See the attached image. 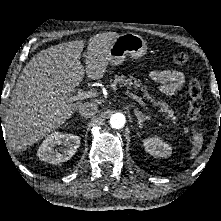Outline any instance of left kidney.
Instances as JSON below:
<instances>
[{"mask_svg":"<svg viewBox=\"0 0 221 221\" xmlns=\"http://www.w3.org/2000/svg\"><path fill=\"white\" fill-rule=\"evenodd\" d=\"M146 152L156 158H166L172 154V147L159 137H152L144 140Z\"/></svg>","mask_w":221,"mask_h":221,"instance_id":"5707ae66","label":"left kidney"}]
</instances>
